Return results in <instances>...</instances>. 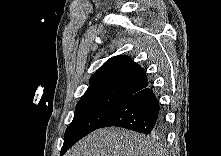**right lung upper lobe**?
I'll return each instance as SVG.
<instances>
[{
    "label": "right lung upper lobe",
    "mask_w": 221,
    "mask_h": 156,
    "mask_svg": "<svg viewBox=\"0 0 221 156\" xmlns=\"http://www.w3.org/2000/svg\"><path fill=\"white\" fill-rule=\"evenodd\" d=\"M148 87L144 70L123 55L107 60L90 78V86L82 96L128 99Z\"/></svg>",
    "instance_id": "1"
}]
</instances>
